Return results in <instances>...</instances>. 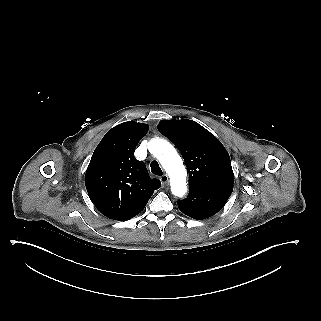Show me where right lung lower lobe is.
Instances as JSON below:
<instances>
[{
    "label": "right lung lower lobe",
    "instance_id": "98d812e1",
    "mask_svg": "<svg viewBox=\"0 0 321 321\" xmlns=\"http://www.w3.org/2000/svg\"><path fill=\"white\" fill-rule=\"evenodd\" d=\"M145 207V206H144ZM144 207H142L141 209H139L138 211H136L135 213H133L132 215H130L129 217L123 219V220H128V219H131L133 218L134 216H136L137 214H139L143 209ZM123 220H120V221H123Z\"/></svg>",
    "mask_w": 321,
    "mask_h": 321
}]
</instances>
